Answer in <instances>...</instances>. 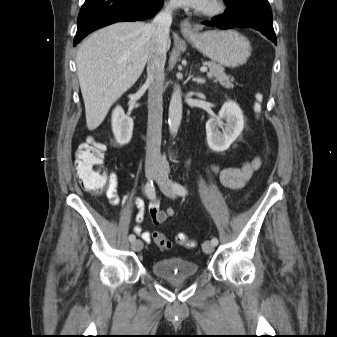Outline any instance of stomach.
Returning a JSON list of instances; mask_svg holds the SVG:
<instances>
[{
	"label": "stomach",
	"mask_w": 337,
	"mask_h": 337,
	"mask_svg": "<svg viewBox=\"0 0 337 337\" xmlns=\"http://www.w3.org/2000/svg\"><path fill=\"white\" fill-rule=\"evenodd\" d=\"M185 38L203 55L226 67L243 65L251 55L248 39L233 30L207 31Z\"/></svg>",
	"instance_id": "0dacf381"
}]
</instances>
